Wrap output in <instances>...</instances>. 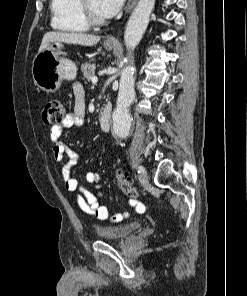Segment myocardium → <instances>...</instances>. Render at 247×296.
I'll return each instance as SVG.
<instances>
[{"label":"myocardium","mask_w":247,"mask_h":296,"mask_svg":"<svg viewBox=\"0 0 247 296\" xmlns=\"http://www.w3.org/2000/svg\"><path fill=\"white\" fill-rule=\"evenodd\" d=\"M79 8L83 20L88 25L99 26L106 22L104 18L98 17L94 14V12L89 7L88 0H80Z\"/></svg>","instance_id":"obj_1"}]
</instances>
